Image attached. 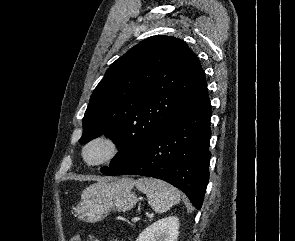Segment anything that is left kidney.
<instances>
[{"label": "left kidney", "instance_id": "1", "mask_svg": "<svg viewBox=\"0 0 295 241\" xmlns=\"http://www.w3.org/2000/svg\"><path fill=\"white\" fill-rule=\"evenodd\" d=\"M178 229L179 219L169 216L148 226L136 241H177Z\"/></svg>", "mask_w": 295, "mask_h": 241}]
</instances>
